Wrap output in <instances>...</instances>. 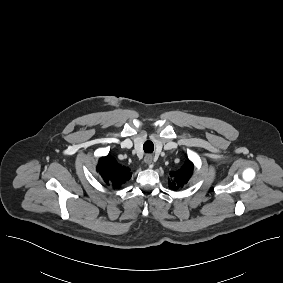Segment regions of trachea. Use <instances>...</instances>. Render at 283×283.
<instances>
[{"label": "trachea", "instance_id": "1", "mask_svg": "<svg viewBox=\"0 0 283 283\" xmlns=\"http://www.w3.org/2000/svg\"><path fill=\"white\" fill-rule=\"evenodd\" d=\"M145 153H152L154 151V144L151 141H146L143 145Z\"/></svg>", "mask_w": 283, "mask_h": 283}]
</instances>
